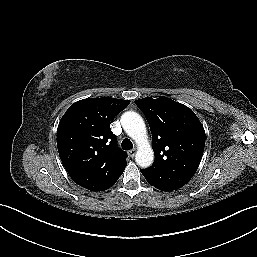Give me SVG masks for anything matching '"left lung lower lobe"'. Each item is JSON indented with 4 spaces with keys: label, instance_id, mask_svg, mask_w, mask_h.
Instances as JSON below:
<instances>
[{
    "label": "left lung lower lobe",
    "instance_id": "left-lung-lower-lobe-1",
    "mask_svg": "<svg viewBox=\"0 0 257 257\" xmlns=\"http://www.w3.org/2000/svg\"><path fill=\"white\" fill-rule=\"evenodd\" d=\"M141 173L147 182L162 191H172L183 187L191 178L177 174L168 169H142Z\"/></svg>",
    "mask_w": 257,
    "mask_h": 257
}]
</instances>
